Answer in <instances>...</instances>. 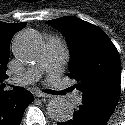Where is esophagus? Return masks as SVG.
<instances>
[{"mask_svg": "<svg viewBox=\"0 0 125 125\" xmlns=\"http://www.w3.org/2000/svg\"><path fill=\"white\" fill-rule=\"evenodd\" d=\"M35 96L39 98H51L52 97L51 95L43 93V92H36Z\"/></svg>", "mask_w": 125, "mask_h": 125, "instance_id": "34e87169", "label": "esophagus"}]
</instances>
